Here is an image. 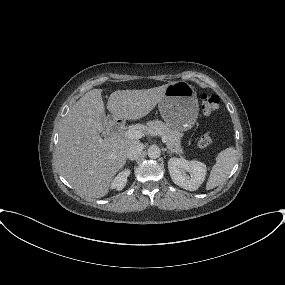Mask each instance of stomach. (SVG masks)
<instances>
[{"mask_svg":"<svg viewBox=\"0 0 285 285\" xmlns=\"http://www.w3.org/2000/svg\"><path fill=\"white\" fill-rule=\"evenodd\" d=\"M158 108L169 127L179 132L191 129L199 111L194 87L185 81L168 84Z\"/></svg>","mask_w":285,"mask_h":285,"instance_id":"0dacf381","label":"stomach"}]
</instances>
